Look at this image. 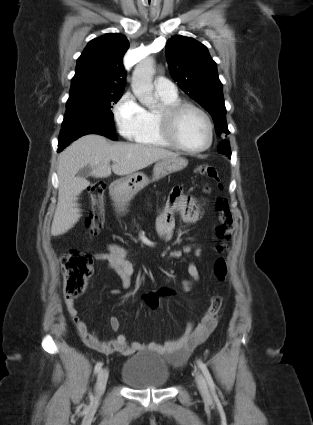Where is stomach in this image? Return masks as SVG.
<instances>
[{"label": "stomach", "instance_id": "stomach-1", "mask_svg": "<svg viewBox=\"0 0 313 425\" xmlns=\"http://www.w3.org/2000/svg\"><path fill=\"white\" fill-rule=\"evenodd\" d=\"M188 164L182 157L167 158L158 161L153 168L152 179L144 173L137 172L116 180L111 187L112 196L118 201H129L149 183L158 181L167 175L181 171Z\"/></svg>", "mask_w": 313, "mask_h": 425}]
</instances>
